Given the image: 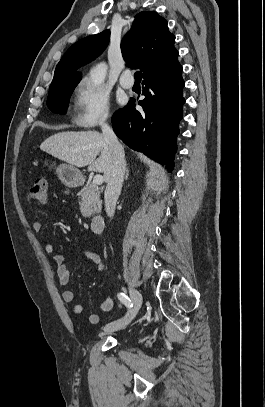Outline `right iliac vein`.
<instances>
[{
  "label": "right iliac vein",
  "instance_id": "1",
  "mask_svg": "<svg viewBox=\"0 0 265 407\" xmlns=\"http://www.w3.org/2000/svg\"><path fill=\"white\" fill-rule=\"evenodd\" d=\"M129 292L133 301L132 309L124 318L107 324L104 327L105 332H114L125 328L138 313L142 304L143 297L141 293L134 288H129Z\"/></svg>",
  "mask_w": 265,
  "mask_h": 407
}]
</instances>
